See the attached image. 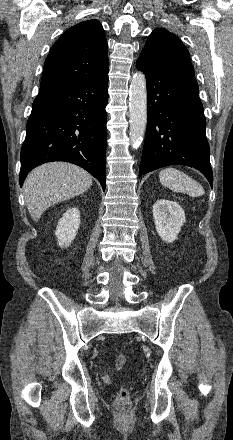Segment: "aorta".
Wrapping results in <instances>:
<instances>
[{
  "label": "aorta",
  "instance_id": "aorta-1",
  "mask_svg": "<svg viewBox=\"0 0 233 440\" xmlns=\"http://www.w3.org/2000/svg\"><path fill=\"white\" fill-rule=\"evenodd\" d=\"M130 140L133 148L143 141L147 125L146 78L142 72H136L129 89Z\"/></svg>",
  "mask_w": 233,
  "mask_h": 440
}]
</instances>
